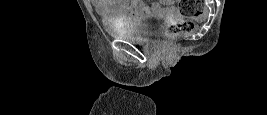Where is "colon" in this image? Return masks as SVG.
Masks as SVG:
<instances>
[{"instance_id":"1","label":"colon","mask_w":267,"mask_h":115,"mask_svg":"<svg viewBox=\"0 0 267 115\" xmlns=\"http://www.w3.org/2000/svg\"><path fill=\"white\" fill-rule=\"evenodd\" d=\"M180 12L184 16H197L202 10L200 0H178ZM195 24L191 20H183L176 24L169 25L164 30L161 38L165 42L173 41L181 36L191 34Z\"/></svg>"}]
</instances>
